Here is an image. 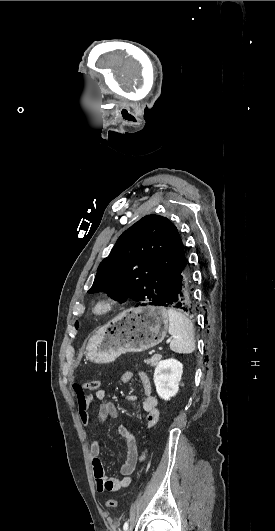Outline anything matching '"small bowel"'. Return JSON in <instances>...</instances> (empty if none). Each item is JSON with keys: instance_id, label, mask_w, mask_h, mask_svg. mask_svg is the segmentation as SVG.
Segmentation results:
<instances>
[{"instance_id": "c3829d8e", "label": "small bowel", "mask_w": 275, "mask_h": 531, "mask_svg": "<svg viewBox=\"0 0 275 531\" xmlns=\"http://www.w3.org/2000/svg\"><path fill=\"white\" fill-rule=\"evenodd\" d=\"M138 378L142 387V411L146 417V425L148 429L154 427L160 417V408L158 398L153 393L152 382L145 371L138 373ZM133 379L132 371H125L121 376V382L127 384ZM73 396L82 397L84 395V386L82 383H73L71 386ZM107 393L104 389L98 390L95 395H86L85 398L79 400L80 420L84 426H88L91 422L90 405L95 401L100 402L98 406V425H102L105 420L110 418H118L119 412L113 402L106 401ZM126 399L129 401H136L138 397L134 394H128ZM119 434L125 441L126 458L120 469V476L108 478L105 476L101 454L103 445L99 439H95L89 450V455L92 462L93 473L96 481V488L99 492L118 491L127 486L131 482V476L137 465L145 459V454H139L136 439L134 435L126 427H119Z\"/></svg>"}]
</instances>
